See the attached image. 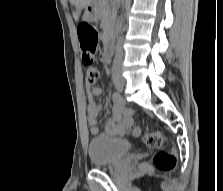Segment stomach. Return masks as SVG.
Masks as SVG:
<instances>
[{
	"label": "stomach",
	"instance_id": "stomach-1",
	"mask_svg": "<svg viewBox=\"0 0 223 191\" xmlns=\"http://www.w3.org/2000/svg\"><path fill=\"white\" fill-rule=\"evenodd\" d=\"M83 19L85 21H92L94 19V15L91 11H89L88 9H86L84 15H83Z\"/></svg>",
	"mask_w": 223,
	"mask_h": 191
}]
</instances>
